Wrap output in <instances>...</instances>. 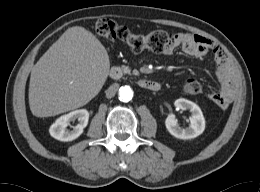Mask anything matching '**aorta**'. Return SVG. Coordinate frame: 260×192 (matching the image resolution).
<instances>
[{"label": "aorta", "mask_w": 260, "mask_h": 192, "mask_svg": "<svg viewBox=\"0 0 260 192\" xmlns=\"http://www.w3.org/2000/svg\"><path fill=\"white\" fill-rule=\"evenodd\" d=\"M133 97V90L129 86H122L119 89V99L123 102H129Z\"/></svg>", "instance_id": "762f6f07"}]
</instances>
